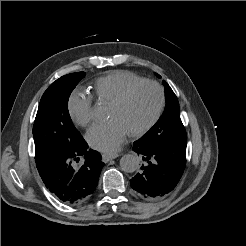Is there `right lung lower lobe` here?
<instances>
[{"mask_svg": "<svg viewBox=\"0 0 246 246\" xmlns=\"http://www.w3.org/2000/svg\"><path fill=\"white\" fill-rule=\"evenodd\" d=\"M84 158L76 167L74 161ZM37 169L49 191L61 202L79 204L94 192L104 166L99 152L89 149L82 138L71 150L48 156L36 162Z\"/></svg>", "mask_w": 246, "mask_h": 246, "instance_id": "right-lung-lower-lobe-1", "label": "right lung lower lobe"}]
</instances>
